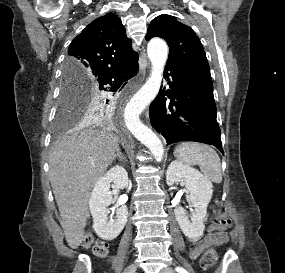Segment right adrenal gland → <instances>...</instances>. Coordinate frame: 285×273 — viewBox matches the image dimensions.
<instances>
[{
  "label": "right adrenal gland",
  "instance_id": "right-adrenal-gland-1",
  "mask_svg": "<svg viewBox=\"0 0 285 273\" xmlns=\"http://www.w3.org/2000/svg\"><path fill=\"white\" fill-rule=\"evenodd\" d=\"M116 158H119L120 160H123L124 162L126 161V158L124 157V155L121 153L120 149L118 148L117 151H116V154L113 156V161L116 159Z\"/></svg>",
  "mask_w": 285,
  "mask_h": 273
}]
</instances>
